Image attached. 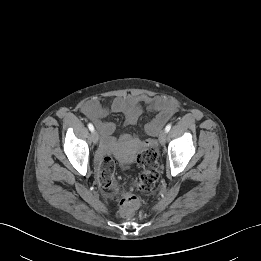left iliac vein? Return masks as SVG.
Instances as JSON below:
<instances>
[{
  "instance_id": "1",
  "label": "left iliac vein",
  "mask_w": 261,
  "mask_h": 261,
  "mask_svg": "<svg viewBox=\"0 0 261 261\" xmlns=\"http://www.w3.org/2000/svg\"><path fill=\"white\" fill-rule=\"evenodd\" d=\"M166 137H167V132L166 131H161L159 136H158V141L160 144H164L166 141Z\"/></svg>"
}]
</instances>
